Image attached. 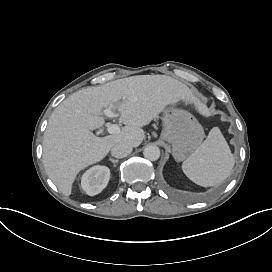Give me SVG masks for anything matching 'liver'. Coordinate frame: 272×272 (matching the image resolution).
<instances>
[{
    "label": "liver",
    "instance_id": "liver-1",
    "mask_svg": "<svg viewBox=\"0 0 272 272\" xmlns=\"http://www.w3.org/2000/svg\"><path fill=\"white\" fill-rule=\"evenodd\" d=\"M179 103L201 112L190 89L166 75L131 76L73 93L51 114L44 134L43 162L49 178L70 196L80 171L102 161L117 143L139 147L145 139L142 127ZM114 105L125 126L119 133L96 136L93 130L104 124L102 110Z\"/></svg>",
    "mask_w": 272,
    "mask_h": 272
}]
</instances>
